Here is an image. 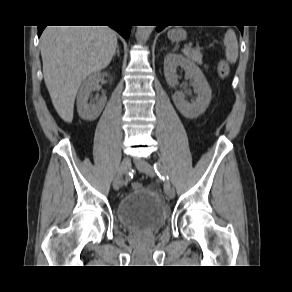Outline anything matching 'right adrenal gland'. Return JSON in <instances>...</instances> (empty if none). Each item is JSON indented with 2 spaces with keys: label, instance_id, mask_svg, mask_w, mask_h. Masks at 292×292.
Masks as SVG:
<instances>
[{
  "label": "right adrenal gland",
  "instance_id": "2a0ac1e0",
  "mask_svg": "<svg viewBox=\"0 0 292 292\" xmlns=\"http://www.w3.org/2000/svg\"><path fill=\"white\" fill-rule=\"evenodd\" d=\"M116 54L118 55V57H120L119 45H117V49H116V52L114 53V56H115Z\"/></svg>",
  "mask_w": 292,
  "mask_h": 292
}]
</instances>
